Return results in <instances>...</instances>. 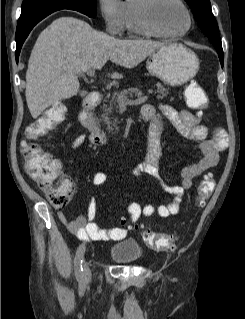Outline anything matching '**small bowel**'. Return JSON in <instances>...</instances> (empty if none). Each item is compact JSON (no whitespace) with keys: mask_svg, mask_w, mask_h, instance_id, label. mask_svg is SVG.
Instances as JSON below:
<instances>
[{"mask_svg":"<svg viewBox=\"0 0 245 319\" xmlns=\"http://www.w3.org/2000/svg\"><path fill=\"white\" fill-rule=\"evenodd\" d=\"M141 113L146 121L151 122L148 157L144 163L132 170L134 177H159V160L162 151L157 139L163 119L168 120L183 137L197 144L200 157L196 163L188 165L182 170L179 185L164 186V189L172 195L169 203L155 208L149 203L141 204L138 201H131L128 204L131 222H136L141 217H150L154 213L160 217L177 214L181 207L182 198L185 192L192 187L193 180L210 171L217 164L219 153L227 146L225 133L220 129H210L204 126L201 123V113H194L186 109L177 110L165 104L161 105L158 110L152 105H144ZM85 140V135H79L74 140L73 147H79ZM106 180L107 175L103 172H97L92 176V183L95 186L104 184ZM96 212L97 203L92 198L85 214H80L75 219L69 220L65 212L59 211L58 218L71 233L85 242L97 240L114 242L126 237L127 230L124 228L99 227L94 221Z\"/></svg>","mask_w":245,"mask_h":319,"instance_id":"obj_1","label":"small bowel"}]
</instances>
